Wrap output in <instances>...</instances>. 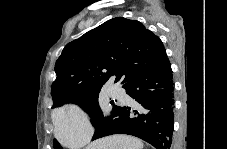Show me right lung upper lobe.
<instances>
[{
  "label": "right lung upper lobe",
  "instance_id": "right-lung-upper-lobe-1",
  "mask_svg": "<svg viewBox=\"0 0 227 149\" xmlns=\"http://www.w3.org/2000/svg\"><path fill=\"white\" fill-rule=\"evenodd\" d=\"M166 59L160 38L141 22L106 21L64 47L55 64L53 106L101 88L112 76L124 86Z\"/></svg>",
  "mask_w": 227,
  "mask_h": 149
}]
</instances>
